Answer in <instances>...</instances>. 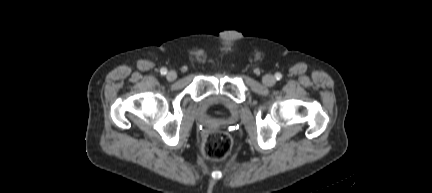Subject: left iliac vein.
<instances>
[{"label": "left iliac vein", "mask_w": 432, "mask_h": 193, "mask_svg": "<svg viewBox=\"0 0 432 193\" xmlns=\"http://www.w3.org/2000/svg\"><path fill=\"white\" fill-rule=\"evenodd\" d=\"M263 83L266 86H273L276 83V79H275V77L273 75L266 74L263 77Z\"/></svg>", "instance_id": "4c4485c4"}]
</instances>
